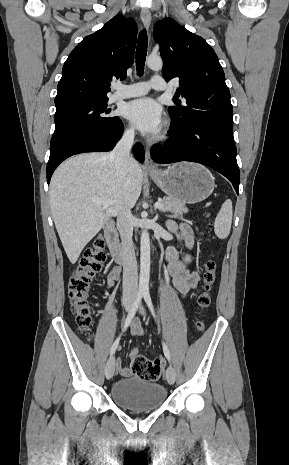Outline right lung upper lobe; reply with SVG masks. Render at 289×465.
I'll use <instances>...</instances> for the list:
<instances>
[{
  "label": "right lung upper lobe",
  "instance_id": "1",
  "mask_svg": "<svg viewBox=\"0 0 289 465\" xmlns=\"http://www.w3.org/2000/svg\"><path fill=\"white\" fill-rule=\"evenodd\" d=\"M136 36L134 20L118 15L85 37L64 63L55 105L108 99L112 78L124 79L134 61Z\"/></svg>",
  "mask_w": 289,
  "mask_h": 465
}]
</instances>
